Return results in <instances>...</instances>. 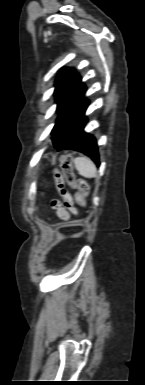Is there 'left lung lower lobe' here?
Here are the masks:
<instances>
[{
  "mask_svg": "<svg viewBox=\"0 0 145 385\" xmlns=\"http://www.w3.org/2000/svg\"><path fill=\"white\" fill-rule=\"evenodd\" d=\"M88 102L85 98L73 108V110L63 119L52 140L54 147L60 150L72 149L84 152L99 165V155L95 138L83 131L86 119L84 117Z\"/></svg>",
  "mask_w": 145,
  "mask_h": 385,
  "instance_id": "obj_1",
  "label": "left lung lower lobe"
}]
</instances>
